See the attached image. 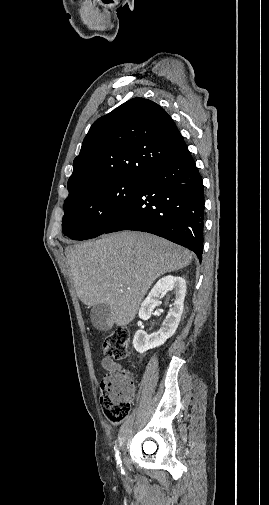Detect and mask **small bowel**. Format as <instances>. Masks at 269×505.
Instances as JSON below:
<instances>
[{"label":"small bowel","instance_id":"c3829d8e","mask_svg":"<svg viewBox=\"0 0 269 505\" xmlns=\"http://www.w3.org/2000/svg\"><path fill=\"white\" fill-rule=\"evenodd\" d=\"M103 367L109 372V374H114L119 370L120 366L111 359H104Z\"/></svg>","mask_w":269,"mask_h":505}]
</instances>
